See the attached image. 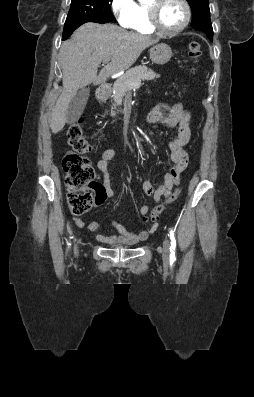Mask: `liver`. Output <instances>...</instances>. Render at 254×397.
Segmentation results:
<instances>
[{
  "mask_svg": "<svg viewBox=\"0 0 254 397\" xmlns=\"http://www.w3.org/2000/svg\"><path fill=\"white\" fill-rule=\"evenodd\" d=\"M157 42L158 39L112 24L89 22L80 26L71 39L62 43L59 52L63 91L51 113L52 133L63 129L68 105L79 89L91 83L102 84L110 76L128 69L146 48ZM105 60L110 63L97 75L99 65Z\"/></svg>",
  "mask_w": 254,
  "mask_h": 397,
  "instance_id": "1",
  "label": "liver"
}]
</instances>
